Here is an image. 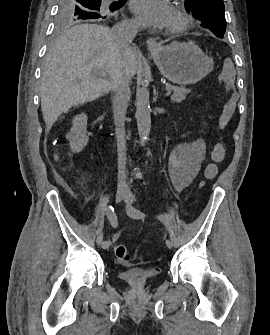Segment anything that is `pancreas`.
Returning <instances> with one entry per match:
<instances>
[{
    "label": "pancreas",
    "mask_w": 270,
    "mask_h": 335,
    "mask_svg": "<svg viewBox=\"0 0 270 335\" xmlns=\"http://www.w3.org/2000/svg\"><path fill=\"white\" fill-rule=\"evenodd\" d=\"M167 90H172L173 94L171 96L172 102H182V100H185L187 94H190L191 90H186L184 86H181V88H178V86H167Z\"/></svg>",
    "instance_id": "pancreas-1"
}]
</instances>
